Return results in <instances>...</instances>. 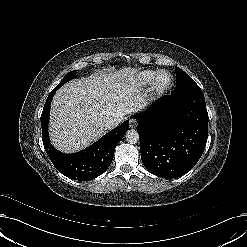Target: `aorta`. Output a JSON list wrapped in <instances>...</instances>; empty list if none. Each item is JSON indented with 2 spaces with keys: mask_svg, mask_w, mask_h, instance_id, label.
Here are the masks:
<instances>
[{
  "mask_svg": "<svg viewBox=\"0 0 247 247\" xmlns=\"http://www.w3.org/2000/svg\"><path fill=\"white\" fill-rule=\"evenodd\" d=\"M125 137L130 144H136L139 141V133L135 129L128 130Z\"/></svg>",
  "mask_w": 247,
  "mask_h": 247,
  "instance_id": "obj_1",
  "label": "aorta"
}]
</instances>
